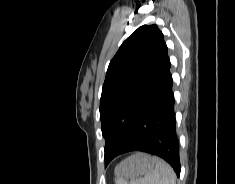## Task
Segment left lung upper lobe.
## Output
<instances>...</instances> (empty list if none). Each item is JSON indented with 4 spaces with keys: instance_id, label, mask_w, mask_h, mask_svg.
Here are the masks:
<instances>
[{
    "instance_id": "1",
    "label": "left lung upper lobe",
    "mask_w": 235,
    "mask_h": 184,
    "mask_svg": "<svg viewBox=\"0 0 235 184\" xmlns=\"http://www.w3.org/2000/svg\"><path fill=\"white\" fill-rule=\"evenodd\" d=\"M166 48L158 27L143 25L122 43L111 60L100 101L105 166L129 138L156 80Z\"/></svg>"
}]
</instances>
